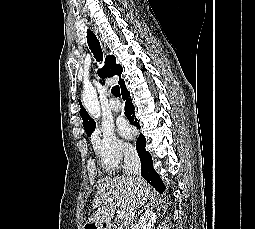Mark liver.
<instances>
[{"instance_id":"liver-1","label":"liver","mask_w":255,"mask_h":229,"mask_svg":"<svg viewBox=\"0 0 255 229\" xmlns=\"http://www.w3.org/2000/svg\"><path fill=\"white\" fill-rule=\"evenodd\" d=\"M153 197L152 187L141 177L125 175L104 178L98 186L92 207L96 209L88 219L89 223L102 225L110 223L120 206L124 213V224L133 222L135 211ZM111 199L110 202H106ZM119 204V206H118Z\"/></svg>"}]
</instances>
